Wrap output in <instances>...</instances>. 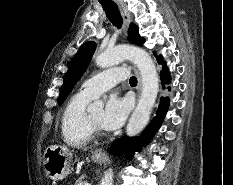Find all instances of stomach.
Wrapping results in <instances>:
<instances>
[{"label":"stomach","mask_w":233,"mask_h":185,"mask_svg":"<svg viewBox=\"0 0 233 185\" xmlns=\"http://www.w3.org/2000/svg\"><path fill=\"white\" fill-rule=\"evenodd\" d=\"M105 156L92 154V160L104 162ZM73 162L72 152L64 146L51 145L44 151L43 167L48 178L54 181L63 180L71 173Z\"/></svg>","instance_id":"obj_1"}]
</instances>
